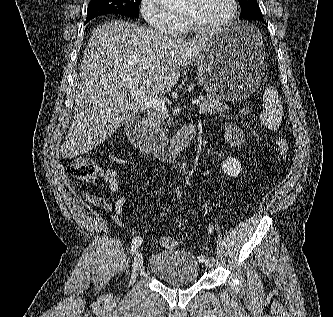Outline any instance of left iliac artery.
Segmentation results:
<instances>
[{"instance_id": "obj_1", "label": "left iliac artery", "mask_w": 333, "mask_h": 317, "mask_svg": "<svg viewBox=\"0 0 333 317\" xmlns=\"http://www.w3.org/2000/svg\"><path fill=\"white\" fill-rule=\"evenodd\" d=\"M177 195H178L179 197H181V193H180L179 191H178ZM212 232H213L212 227H211V228L209 227V233L211 234ZM198 259H199L200 262H205V260H206V258H205L204 255H200V256L198 257Z\"/></svg>"}]
</instances>
